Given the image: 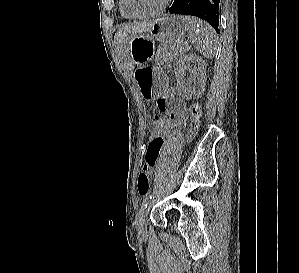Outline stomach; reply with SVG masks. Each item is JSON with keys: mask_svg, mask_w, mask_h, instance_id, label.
<instances>
[{"mask_svg": "<svg viewBox=\"0 0 299 273\" xmlns=\"http://www.w3.org/2000/svg\"><path fill=\"white\" fill-rule=\"evenodd\" d=\"M187 31L185 18L178 15L164 16L156 20L145 35L136 36L130 43L131 64H150L156 43H173ZM135 80L145 101H156L154 96L166 86V74L151 67H136Z\"/></svg>", "mask_w": 299, "mask_h": 273, "instance_id": "stomach-1", "label": "stomach"}]
</instances>
